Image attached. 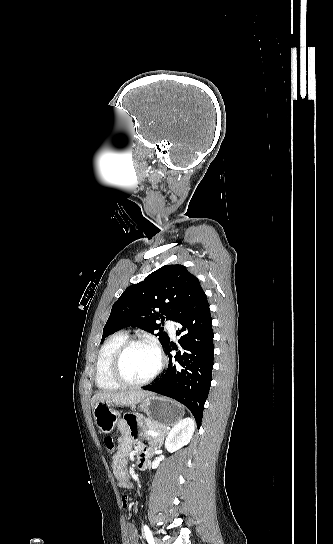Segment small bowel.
I'll use <instances>...</instances> for the list:
<instances>
[{"label": "small bowel", "instance_id": "obj_1", "mask_svg": "<svg viewBox=\"0 0 333 544\" xmlns=\"http://www.w3.org/2000/svg\"><path fill=\"white\" fill-rule=\"evenodd\" d=\"M120 436L118 438L117 450L112 457L113 473L120 487L129 488V473L127 469L128 454L131 445L135 442L141 451L148 452L149 442L138 439L137 423L135 419H124L118 424ZM121 505L126 508L129 505V498L125 495L121 497ZM130 544H138L137 530L134 525L128 524L126 527Z\"/></svg>", "mask_w": 333, "mask_h": 544}]
</instances>
